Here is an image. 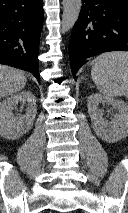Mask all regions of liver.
Here are the masks:
<instances>
[{"label": "liver", "instance_id": "6515ba94", "mask_svg": "<svg viewBox=\"0 0 128 213\" xmlns=\"http://www.w3.org/2000/svg\"><path fill=\"white\" fill-rule=\"evenodd\" d=\"M26 81L22 71L0 64V99L22 90Z\"/></svg>", "mask_w": 128, "mask_h": 213}]
</instances>
